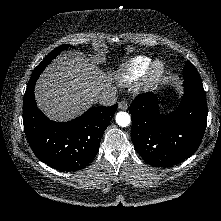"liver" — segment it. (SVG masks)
I'll return each instance as SVG.
<instances>
[{"label": "liver", "mask_w": 221, "mask_h": 221, "mask_svg": "<svg viewBox=\"0 0 221 221\" xmlns=\"http://www.w3.org/2000/svg\"><path fill=\"white\" fill-rule=\"evenodd\" d=\"M112 81L113 74L104 73L89 58L62 53L37 80L36 102L50 119L72 120L89 109L101 91L112 87Z\"/></svg>", "instance_id": "1"}]
</instances>
